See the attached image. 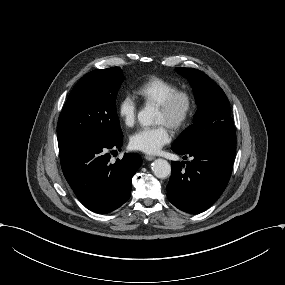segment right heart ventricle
<instances>
[{
  "label": "right heart ventricle",
  "mask_w": 285,
  "mask_h": 285,
  "mask_svg": "<svg viewBox=\"0 0 285 285\" xmlns=\"http://www.w3.org/2000/svg\"><path fill=\"white\" fill-rule=\"evenodd\" d=\"M176 88H178V84L175 81L154 76L139 84L134 92L142 104L157 106Z\"/></svg>",
  "instance_id": "obj_1"
}]
</instances>
